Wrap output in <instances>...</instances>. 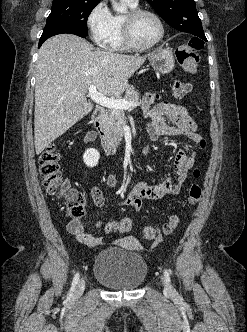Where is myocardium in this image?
I'll return each mask as SVG.
<instances>
[{
    "label": "myocardium",
    "instance_id": "obj_1",
    "mask_svg": "<svg viewBox=\"0 0 247 332\" xmlns=\"http://www.w3.org/2000/svg\"><path fill=\"white\" fill-rule=\"evenodd\" d=\"M142 15H149L152 16L158 23L160 27V36L156 41H154L151 44L148 45H141L138 44L134 37H133V23L134 21L139 18ZM123 37L124 41L127 44V46L131 49L138 50V51H145L154 48L159 43H161L165 37V25L163 23V20L161 17L155 13L154 11L148 10V9H141V8H134L129 11L128 14H126L123 17Z\"/></svg>",
    "mask_w": 247,
    "mask_h": 332
}]
</instances>
